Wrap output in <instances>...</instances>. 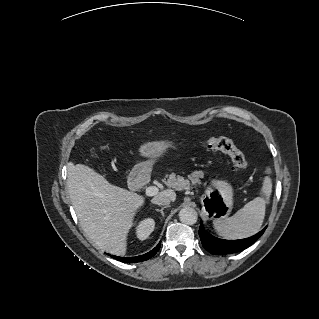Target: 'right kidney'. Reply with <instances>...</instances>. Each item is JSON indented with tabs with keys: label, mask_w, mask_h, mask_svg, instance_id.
Instances as JSON below:
<instances>
[{
	"label": "right kidney",
	"mask_w": 319,
	"mask_h": 319,
	"mask_svg": "<svg viewBox=\"0 0 319 319\" xmlns=\"http://www.w3.org/2000/svg\"><path fill=\"white\" fill-rule=\"evenodd\" d=\"M155 221L152 218H146L136 227V236L139 240H145L153 232Z\"/></svg>",
	"instance_id": "right-kidney-1"
}]
</instances>
